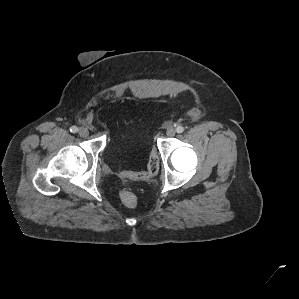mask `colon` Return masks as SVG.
<instances>
[{
    "instance_id": "5ec220e1",
    "label": "colon",
    "mask_w": 299,
    "mask_h": 299,
    "mask_svg": "<svg viewBox=\"0 0 299 299\" xmlns=\"http://www.w3.org/2000/svg\"><path fill=\"white\" fill-rule=\"evenodd\" d=\"M160 169V159L159 155L156 152H152L147 168L144 171H123L122 175L125 178L133 180H145L149 179L152 176L156 175ZM121 200L127 207H134L137 204V196L130 190L123 189L121 191Z\"/></svg>"
}]
</instances>
